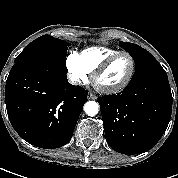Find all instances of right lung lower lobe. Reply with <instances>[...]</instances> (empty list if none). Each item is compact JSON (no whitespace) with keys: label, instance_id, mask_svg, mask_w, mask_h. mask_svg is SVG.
I'll return each mask as SVG.
<instances>
[{"label":"right lung lower lobe","instance_id":"98d812e1","mask_svg":"<svg viewBox=\"0 0 178 178\" xmlns=\"http://www.w3.org/2000/svg\"><path fill=\"white\" fill-rule=\"evenodd\" d=\"M87 94L59 64H19L6 81L7 114L25 141L54 149L70 141Z\"/></svg>","mask_w":178,"mask_h":178}]
</instances>
